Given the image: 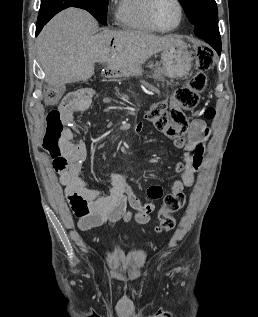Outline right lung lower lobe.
Returning a JSON list of instances; mask_svg holds the SVG:
<instances>
[{
  "label": "right lung lower lobe",
  "instance_id": "1",
  "mask_svg": "<svg viewBox=\"0 0 258 317\" xmlns=\"http://www.w3.org/2000/svg\"><path fill=\"white\" fill-rule=\"evenodd\" d=\"M68 7L85 9L93 15V11L88 0H41V6L36 25V36L54 15Z\"/></svg>",
  "mask_w": 258,
  "mask_h": 317
}]
</instances>
